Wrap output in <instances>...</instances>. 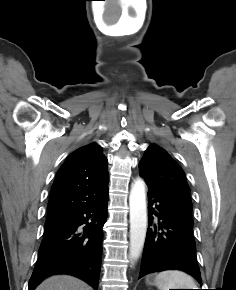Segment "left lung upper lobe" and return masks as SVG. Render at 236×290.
Returning <instances> with one entry per match:
<instances>
[{"instance_id": "obj_1", "label": "left lung upper lobe", "mask_w": 236, "mask_h": 290, "mask_svg": "<svg viewBox=\"0 0 236 290\" xmlns=\"http://www.w3.org/2000/svg\"><path fill=\"white\" fill-rule=\"evenodd\" d=\"M139 173L148 188H153L175 197L192 211L190 189L181 167L160 146L152 144L139 163Z\"/></svg>"}]
</instances>
